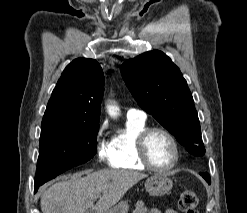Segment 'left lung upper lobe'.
<instances>
[{"label": "left lung upper lobe", "instance_id": "obj_1", "mask_svg": "<svg viewBox=\"0 0 247 213\" xmlns=\"http://www.w3.org/2000/svg\"><path fill=\"white\" fill-rule=\"evenodd\" d=\"M120 68L138 105L171 132L190 154L204 155L192 94L171 59L153 50L125 61Z\"/></svg>", "mask_w": 247, "mask_h": 213}]
</instances>
